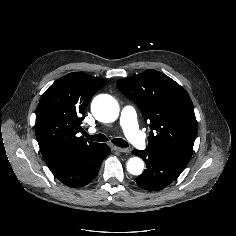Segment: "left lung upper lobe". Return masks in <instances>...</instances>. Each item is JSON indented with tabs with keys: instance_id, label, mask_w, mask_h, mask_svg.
<instances>
[{
	"instance_id": "5c2ea615",
	"label": "left lung upper lobe",
	"mask_w": 236,
	"mask_h": 236,
	"mask_svg": "<svg viewBox=\"0 0 236 236\" xmlns=\"http://www.w3.org/2000/svg\"><path fill=\"white\" fill-rule=\"evenodd\" d=\"M117 88L137 104L149 122L147 148L186 167L197 135L194 107L188 93L173 79L152 69L120 79Z\"/></svg>"
}]
</instances>
